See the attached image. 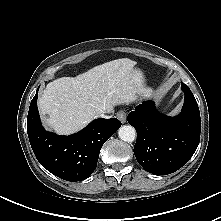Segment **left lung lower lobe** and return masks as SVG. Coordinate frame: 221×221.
<instances>
[{
	"instance_id": "obj_1",
	"label": "left lung lower lobe",
	"mask_w": 221,
	"mask_h": 221,
	"mask_svg": "<svg viewBox=\"0 0 221 221\" xmlns=\"http://www.w3.org/2000/svg\"><path fill=\"white\" fill-rule=\"evenodd\" d=\"M181 114H160L152 101L138 105L128 114V122L137 131L134 154L138 163L156 175L177 171L192 157L200 141L201 120L198 104L187 85Z\"/></svg>"
}]
</instances>
